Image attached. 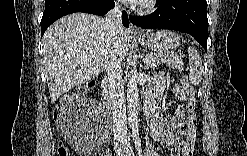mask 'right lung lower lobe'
Instances as JSON below:
<instances>
[{
    "instance_id": "98d812e1",
    "label": "right lung lower lobe",
    "mask_w": 247,
    "mask_h": 156,
    "mask_svg": "<svg viewBox=\"0 0 247 156\" xmlns=\"http://www.w3.org/2000/svg\"><path fill=\"white\" fill-rule=\"evenodd\" d=\"M45 11L41 20V36L45 30L57 19L70 13L84 12L104 16L114 8V0H46ZM122 23L129 27V19L125 11L122 12Z\"/></svg>"
}]
</instances>
